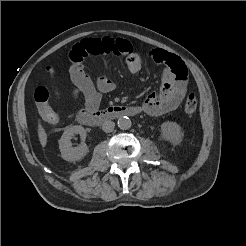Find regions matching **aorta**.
<instances>
[{"mask_svg":"<svg viewBox=\"0 0 246 246\" xmlns=\"http://www.w3.org/2000/svg\"><path fill=\"white\" fill-rule=\"evenodd\" d=\"M117 125L120 129L127 130L131 127V120L126 116L120 117L117 121Z\"/></svg>","mask_w":246,"mask_h":246,"instance_id":"1","label":"aorta"}]
</instances>
